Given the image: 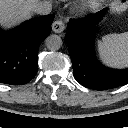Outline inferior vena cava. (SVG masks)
<instances>
[{
  "instance_id": "602c4592",
  "label": "inferior vena cava",
  "mask_w": 128,
  "mask_h": 128,
  "mask_svg": "<svg viewBox=\"0 0 128 128\" xmlns=\"http://www.w3.org/2000/svg\"><path fill=\"white\" fill-rule=\"evenodd\" d=\"M52 10V4L48 1H40L36 4L34 11L40 15H47Z\"/></svg>"
}]
</instances>
